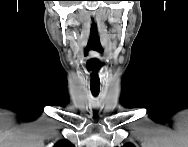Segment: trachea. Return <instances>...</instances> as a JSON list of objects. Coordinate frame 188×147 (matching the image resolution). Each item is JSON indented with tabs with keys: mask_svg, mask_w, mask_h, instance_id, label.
Segmentation results:
<instances>
[{
	"mask_svg": "<svg viewBox=\"0 0 188 147\" xmlns=\"http://www.w3.org/2000/svg\"><path fill=\"white\" fill-rule=\"evenodd\" d=\"M92 94H93L94 96H97V95H98V93H97V92H92Z\"/></svg>",
	"mask_w": 188,
	"mask_h": 147,
	"instance_id": "trachea-1",
	"label": "trachea"
}]
</instances>
